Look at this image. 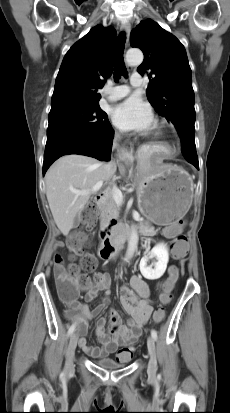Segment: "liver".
Instances as JSON below:
<instances>
[{"label":"liver","mask_w":230,"mask_h":413,"mask_svg":"<svg viewBox=\"0 0 230 413\" xmlns=\"http://www.w3.org/2000/svg\"><path fill=\"white\" fill-rule=\"evenodd\" d=\"M104 165L92 157L70 154L59 158L47 171L46 196L54 221L63 235H68L76 215L90 198V194L76 195L71 190H90L99 181H110L115 172L109 174Z\"/></svg>","instance_id":"obj_1"}]
</instances>
